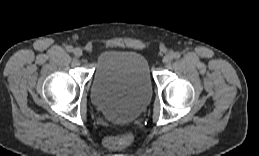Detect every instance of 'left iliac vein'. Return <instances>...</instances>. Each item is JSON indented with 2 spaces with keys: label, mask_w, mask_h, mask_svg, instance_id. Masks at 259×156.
Listing matches in <instances>:
<instances>
[{
  "label": "left iliac vein",
  "mask_w": 259,
  "mask_h": 156,
  "mask_svg": "<svg viewBox=\"0 0 259 156\" xmlns=\"http://www.w3.org/2000/svg\"><path fill=\"white\" fill-rule=\"evenodd\" d=\"M172 59H173V55L170 54V53H167V54L164 55L162 61H163L164 64H168L172 61Z\"/></svg>",
  "instance_id": "left-iliac-vein-1"
}]
</instances>
